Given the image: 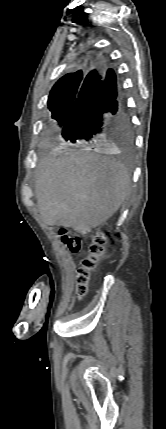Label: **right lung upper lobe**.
Here are the masks:
<instances>
[{
  "label": "right lung upper lobe",
  "instance_id": "obj_1",
  "mask_svg": "<svg viewBox=\"0 0 166 429\" xmlns=\"http://www.w3.org/2000/svg\"><path fill=\"white\" fill-rule=\"evenodd\" d=\"M76 75H84V72L82 70H79V71H77L75 73L66 74L65 76H63L62 78H60L58 82L63 81V80H65L67 78H70L72 76H76Z\"/></svg>",
  "mask_w": 166,
  "mask_h": 429
}]
</instances>
